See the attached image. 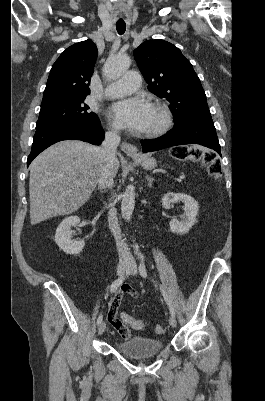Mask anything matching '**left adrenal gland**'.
<instances>
[{
  "instance_id": "left-adrenal-gland-1",
  "label": "left adrenal gland",
  "mask_w": 265,
  "mask_h": 401,
  "mask_svg": "<svg viewBox=\"0 0 265 401\" xmlns=\"http://www.w3.org/2000/svg\"><path fill=\"white\" fill-rule=\"evenodd\" d=\"M146 178L148 180L147 186H149V188H150V186H152V182H153L154 178H151V176H149V174H146Z\"/></svg>"
}]
</instances>
